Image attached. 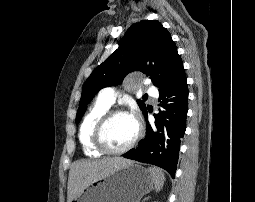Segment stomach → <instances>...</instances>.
Listing matches in <instances>:
<instances>
[{
    "mask_svg": "<svg viewBox=\"0 0 255 202\" xmlns=\"http://www.w3.org/2000/svg\"><path fill=\"white\" fill-rule=\"evenodd\" d=\"M153 188L149 170L132 163L94 181L71 202H140Z\"/></svg>",
    "mask_w": 255,
    "mask_h": 202,
    "instance_id": "stomach-1",
    "label": "stomach"
}]
</instances>
